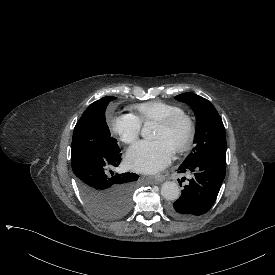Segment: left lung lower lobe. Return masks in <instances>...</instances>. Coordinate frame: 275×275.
Masks as SVG:
<instances>
[{
    "instance_id": "0a47b994",
    "label": "left lung lower lobe",
    "mask_w": 275,
    "mask_h": 275,
    "mask_svg": "<svg viewBox=\"0 0 275 275\" xmlns=\"http://www.w3.org/2000/svg\"><path fill=\"white\" fill-rule=\"evenodd\" d=\"M186 171L193 172L194 178L184 186L180 198L168 206V213L179 220H190L210 210L225 177L226 159L209 157L178 169V173Z\"/></svg>"
}]
</instances>
